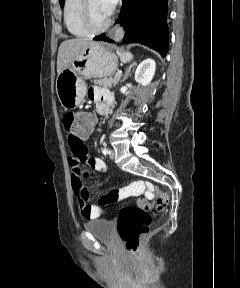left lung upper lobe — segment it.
I'll return each mask as SVG.
<instances>
[{"label":"left lung upper lobe","instance_id":"1","mask_svg":"<svg viewBox=\"0 0 240 288\" xmlns=\"http://www.w3.org/2000/svg\"><path fill=\"white\" fill-rule=\"evenodd\" d=\"M64 1L65 0H59L61 6L64 4Z\"/></svg>","mask_w":240,"mask_h":288}]
</instances>
